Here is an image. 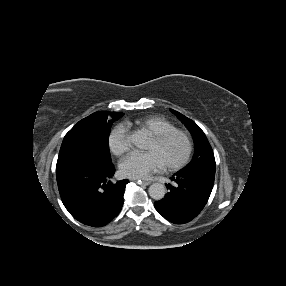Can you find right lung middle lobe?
Instances as JSON below:
<instances>
[{
  "mask_svg": "<svg viewBox=\"0 0 286 286\" xmlns=\"http://www.w3.org/2000/svg\"><path fill=\"white\" fill-rule=\"evenodd\" d=\"M113 120H109L108 116ZM121 115L117 112L93 113L79 121L64 137L57 160V169L76 162L109 164L111 124Z\"/></svg>",
  "mask_w": 286,
  "mask_h": 286,
  "instance_id": "dd1d6c3e",
  "label": "right lung middle lobe"
}]
</instances>
